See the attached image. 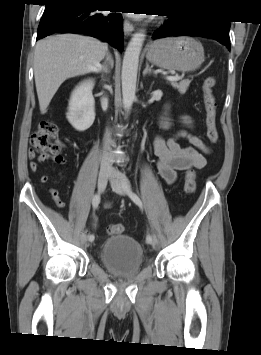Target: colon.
I'll return each mask as SVG.
<instances>
[{
  "mask_svg": "<svg viewBox=\"0 0 261 355\" xmlns=\"http://www.w3.org/2000/svg\"><path fill=\"white\" fill-rule=\"evenodd\" d=\"M215 79L208 77L203 84V101L205 109L206 135L211 144L218 141V130L216 124L217 103L213 93ZM31 146L41 158L57 156L63 143L59 137L57 127L51 122H42L31 136ZM196 189V175L193 170H188L185 174V191L193 193ZM125 232V226L121 223L112 224L108 228L110 235H120Z\"/></svg>",
  "mask_w": 261,
  "mask_h": 355,
  "instance_id": "colon-1",
  "label": "colon"
}]
</instances>
